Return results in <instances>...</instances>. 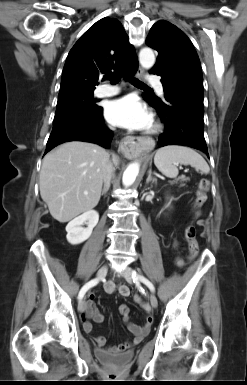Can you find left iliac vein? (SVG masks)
I'll list each match as a JSON object with an SVG mask.
<instances>
[{"mask_svg":"<svg viewBox=\"0 0 247 385\" xmlns=\"http://www.w3.org/2000/svg\"><path fill=\"white\" fill-rule=\"evenodd\" d=\"M133 269L130 268V267H126L122 274L124 276V278L126 279L127 282L131 283L133 281ZM149 301H150V304L152 307L156 308L157 305H158V300H157V297L153 294V293H150L149 295Z\"/></svg>","mask_w":247,"mask_h":385,"instance_id":"1","label":"left iliac vein"}]
</instances>
